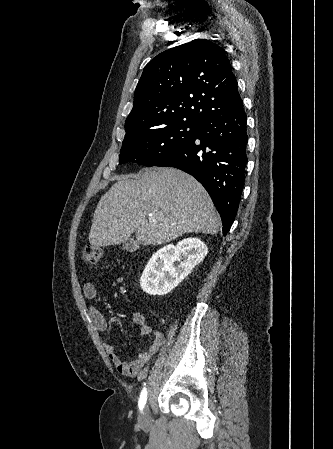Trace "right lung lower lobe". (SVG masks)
Segmentation results:
<instances>
[{"label": "right lung lower lobe", "instance_id": "obj_1", "mask_svg": "<svg viewBox=\"0 0 333 449\" xmlns=\"http://www.w3.org/2000/svg\"><path fill=\"white\" fill-rule=\"evenodd\" d=\"M247 116L242 99L211 113L195 134L155 166L181 169L208 191L226 235L236 216L247 164Z\"/></svg>", "mask_w": 333, "mask_h": 449}]
</instances>
